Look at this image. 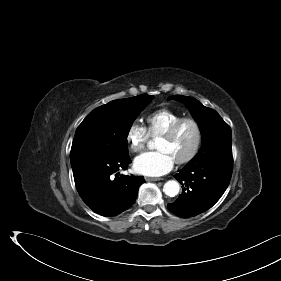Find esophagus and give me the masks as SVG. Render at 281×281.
Masks as SVG:
<instances>
[{"instance_id": "1", "label": "esophagus", "mask_w": 281, "mask_h": 281, "mask_svg": "<svg viewBox=\"0 0 281 281\" xmlns=\"http://www.w3.org/2000/svg\"><path fill=\"white\" fill-rule=\"evenodd\" d=\"M145 180H146V181H149V182H150V181L152 182V181H160L161 178L146 177Z\"/></svg>"}]
</instances>
